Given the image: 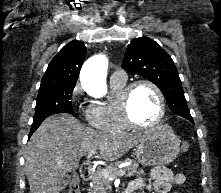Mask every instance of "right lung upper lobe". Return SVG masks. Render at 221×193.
I'll return each mask as SVG.
<instances>
[{
  "label": "right lung upper lobe",
  "mask_w": 221,
  "mask_h": 193,
  "mask_svg": "<svg viewBox=\"0 0 221 193\" xmlns=\"http://www.w3.org/2000/svg\"><path fill=\"white\" fill-rule=\"evenodd\" d=\"M86 51L85 45L77 40L65 45L50 62L40 88L76 85Z\"/></svg>",
  "instance_id": "right-lung-upper-lobe-1"
}]
</instances>
